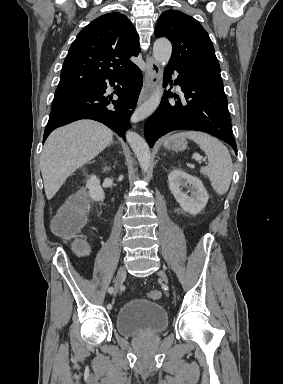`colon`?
Segmentation results:
<instances>
[{"instance_id":"1","label":"colon","mask_w":283,"mask_h":384,"mask_svg":"<svg viewBox=\"0 0 283 384\" xmlns=\"http://www.w3.org/2000/svg\"><path fill=\"white\" fill-rule=\"evenodd\" d=\"M88 203L82 197H73L64 204L53 219V229L62 236H74L78 233L85 223ZM75 250L80 254L88 252L87 245L77 240L74 242ZM152 300H158L162 297L159 290H152L148 293Z\"/></svg>"}]
</instances>
